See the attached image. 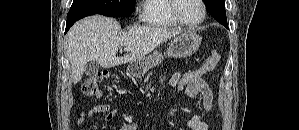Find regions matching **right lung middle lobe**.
<instances>
[{
	"mask_svg": "<svg viewBox=\"0 0 299 130\" xmlns=\"http://www.w3.org/2000/svg\"><path fill=\"white\" fill-rule=\"evenodd\" d=\"M136 0H73L69 12H86L112 17L129 16Z\"/></svg>",
	"mask_w": 299,
	"mask_h": 130,
	"instance_id": "dd1d6c3e",
	"label": "right lung middle lobe"
}]
</instances>
